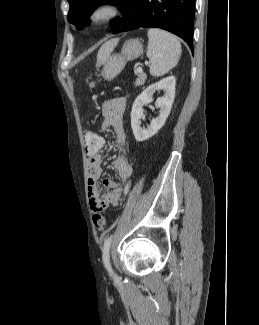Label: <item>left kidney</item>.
Returning <instances> with one entry per match:
<instances>
[{"label": "left kidney", "instance_id": "left-kidney-1", "mask_svg": "<svg viewBox=\"0 0 259 325\" xmlns=\"http://www.w3.org/2000/svg\"><path fill=\"white\" fill-rule=\"evenodd\" d=\"M175 77L169 76L157 83L149 85L134 101L131 111V127L137 141H145L154 136L165 124L170 114L175 97ZM164 90V96L159 97L155 103L160 108V114L153 119L147 129L141 127L143 106L153 101V94L158 90Z\"/></svg>", "mask_w": 259, "mask_h": 325}]
</instances>
